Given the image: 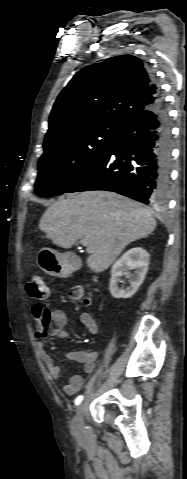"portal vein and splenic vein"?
<instances>
[{
  "label": "portal vein and splenic vein",
  "instance_id": "obj_1",
  "mask_svg": "<svg viewBox=\"0 0 187 479\" xmlns=\"http://www.w3.org/2000/svg\"><path fill=\"white\" fill-rule=\"evenodd\" d=\"M80 243H81L82 246L87 247V250H88V248H89V242H88L86 239L81 240Z\"/></svg>",
  "mask_w": 187,
  "mask_h": 479
}]
</instances>
